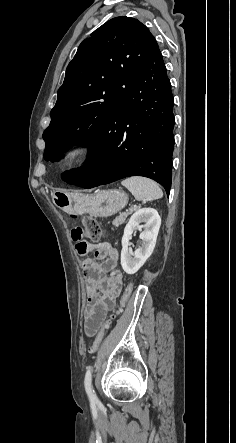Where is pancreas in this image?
I'll use <instances>...</instances> for the list:
<instances>
[{
    "label": "pancreas",
    "mask_w": 236,
    "mask_h": 443,
    "mask_svg": "<svg viewBox=\"0 0 236 443\" xmlns=\"http://www.w3.org/2000/svg\"><path fill=\"white\" fill-rule=\"evenodd\" d=\"M136 209H137V208H131V209H129V211L120 214L119 216H117V217L113 220L112 224H113L115 227H118L119 225L123 224V223L126 221L127 216L130 215V214H132Z\"/></svg>",
    "instance_id": "obj_1"
}]
</instances>
